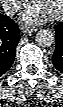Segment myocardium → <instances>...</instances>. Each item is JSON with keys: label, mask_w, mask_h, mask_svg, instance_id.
<instances>
[{"label": "myocardium", "mask_w": 63, "mask_h": 107, "mask_svg": "<svg viewBox=\"0 0 63 107\" xmlns=\"http://www.w3.org/2000/svg\"><path fill=\"white\" fill-rule=\"evenodd\" d=\"M62 11H63V1L60 2L59 9L54 14H52V17L58 18L62 14Z\"/></svg>", "instance_id": "f54148a6"}]
</instances>
